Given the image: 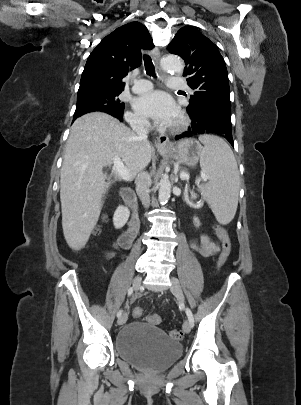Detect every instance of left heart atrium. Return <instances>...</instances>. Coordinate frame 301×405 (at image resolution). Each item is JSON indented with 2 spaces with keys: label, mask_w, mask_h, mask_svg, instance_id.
Here are the masks:
<instances>
[{
  "label": "left heart atrium",
  "mask_w": 301,
  "mask_h": 405,
  "mask_svg": "<svg viewBox=\"0 0 301 405\" xmlns=\"http://www.w3.org/2000/svg\"><path fill=\"white\" fill-rule=\"evenodd\" d=\"M134 108L139 114L163 126L174 124L180 115L173 99L162 91H152L137 97Z\"/></svg>",
  "instance_id": "1"
}]
</instances>
